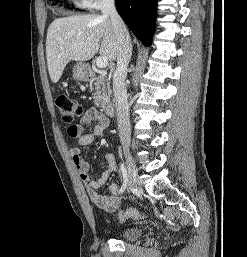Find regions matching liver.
<instances>
[{
	"instance_id": "obj_1",
	"label": "liver",
	"mask_w": 247,
	"mask_h": 257,
	"mask_svg": "<svg viewBox=\"0 0 247 257\" xmlns=\"http://www.w3.org/2000/svg\"><path fill=\"white\" fill-rule=\"evenodd\" d=\"M98 51L109 61L115 60L118 54L117 36L108 16L85 14L55 19L46 39L51 81H59L71 60L88 61Z\"/></svg>"
}]
</instances>
